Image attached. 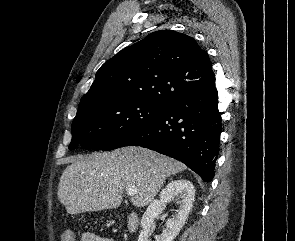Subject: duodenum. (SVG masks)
I'll return each mask as SVG.
<instances>
[{
  "label": "duodenum",
  "instance_id": "410a0bca",
  "mask_svg": "<svg viewBox=\"0 0 295 241\" xmlns=\"http://www.w3.org/2000/svg\"><path fill=\"white\" fill-rule=\"evenodd\" d=\"M137 227V216L132 214L130 217H129V221H128V229L130 231H134Z\"/></svg>",
  "mask_w": 295,
  "mask_h": 241
}]
</instances>
